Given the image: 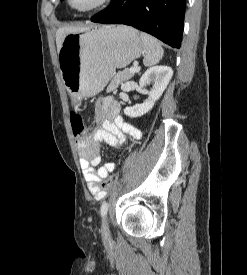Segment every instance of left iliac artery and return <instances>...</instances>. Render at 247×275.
I'll return each mask as SVG.
<instances>
[{"label":"left iliac artery","mask_w":247,"mask_h":275,"mask_svg":"<svg viewBox=\"0 0 247 275\" xmlns=\"http://www.w3.org/2000/svg\"><path fill=\"white\" fill-rule=\"evenodd\" d=\"M109 205L108 203L105 201L102 203L101 208H100V212H101V216L104 217L107 214Z\"/></svg>","instance_id":"44dca946"}]
</instances>
